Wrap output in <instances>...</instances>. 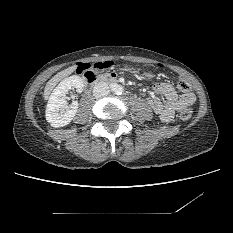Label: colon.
<instances>
[{
  "instance_id": "1",
  "label": "colon",
  "mask_w": 233,
  "mask_h": 233,
  "mask_svg": "<svg viewBox=\"0 0 233 233\" xmlns=\"http://www.w3.org/2000/svg\"><path fill=\"white\" fill-rule=\"evenodd\" d=\"M112 66L109 62H96V63H79L76 67V73L80 75L82 78H91L95 73L96 70H104L108 69ZM160 67H164V65L159 64ZM178 89L183 92L185 101L189 106H187L180 114V118L182 120H188L191 117L192 110L190 105L193 102V92L191 89L190 84L184 80L179 79L177 82Z\"/></svg>"
}]
</instances>
